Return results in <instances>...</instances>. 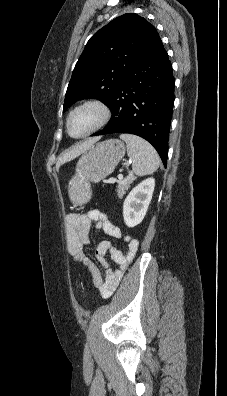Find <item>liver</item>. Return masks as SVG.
I'll return each instance as SVG.
<instances>
[{
    "instance_id": "obj_1",
    "label": "liver",
    "mask_w": 227,
    "mask_h": 396,
    "mask_svg": "<svg viewBox=\"0 0 227 396\" xmlns=\"http://www.w3.org/2000/svg\"><path fill=\"white\" fill-rule=\"evenodd\" d=\"M97 141V138L87 140L80 145L76 146L66 154H64L57 162L56 167L59 168L63 163L68 162L70 160H73L80 154L84 153L86 150H88L95 142Z\"/></svg>"
}]
</instances>
